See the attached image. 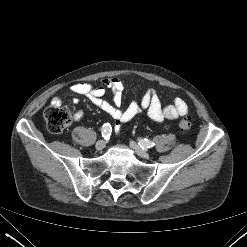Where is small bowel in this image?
Here are the masks:
<instances>
[{"label":"small bowel","mask_w":247,"mask_h":247,"mask_svg":"<svg viewBox=\"0 0 247 247\" xmlns=\"http://www.w3.org/2000/svg\"><path fill=\"white\" fill-rule=\"evenodd\" d=\"M107 89L113 92V104L103 99ZM71 91L76 95L88 98L96 107L118 123H127L142 112H147L148 116L157 123L174 120L188 114V106L183 99L175 98L172 104L163 105L157 92L153 89H148L140 101H133L123 109L121 107L123 83L118 78H106L97 86L78 82L71 86ZM60 103L61 100L58 97L52 101V104L55 105H60ZM72 103L77 104L78 99L74 98ZM82 116L81 111L76 113L77 119H81Z\"/></svg>","instance_id":"1"}]
</instances>
